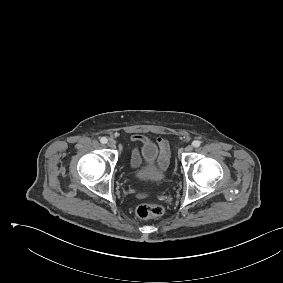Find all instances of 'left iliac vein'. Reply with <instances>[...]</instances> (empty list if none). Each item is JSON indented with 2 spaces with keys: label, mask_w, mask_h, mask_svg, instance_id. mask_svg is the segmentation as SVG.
<instances>
[{
  "label": "left iliac vein",
  "mask_w": 283,
  "mask_h": 283,
  "mask_svg": "<svg viewBox=\"0 0 283 283\" xmlns=\"http://www.w3.org/2000/svg\"><path fill=\"white\" fill-rule=\"evenodd\" d=\"M193 150V147L191 145L186 146L185 151L191 152Z\"/></svg>",
  "instance_id": "obj_1"
}]
</instances>
